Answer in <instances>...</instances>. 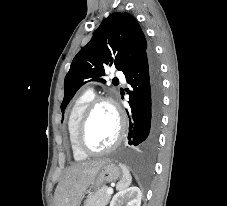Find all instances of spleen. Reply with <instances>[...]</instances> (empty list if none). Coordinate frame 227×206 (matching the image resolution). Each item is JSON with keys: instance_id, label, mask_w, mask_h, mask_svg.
<instances>
[{"instance_id": "spleen-1", "label": "spleen", "mask_w": 227, "mask_h": 206, "mask_svg": "<svg viewBox=\"0 0 227 206\" xmlns=\"http://www.w3.org/2000/svg\"><path fill=\"white\" fill-rule=\"evenodd\" d=\"M119 166L122 169L123 176H122V179L117 184V189L123 190L131 184L132 177H131V174L129 172V169L125 165L119 164Z\"/></svg>"}]
</instances>
